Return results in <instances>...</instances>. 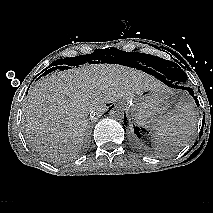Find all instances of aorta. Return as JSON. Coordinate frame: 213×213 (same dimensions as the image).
I'll use <instances>...</instances> for the list:
<instances>
[{"instance_id":"762f6f07","label":"aorta","mask_w":213,"mask_h":213,"mask_svg":"<svg viewBox=\"0 0 213 213\" xmlns=\"http://www.w3.org/2000/svg\"><path fill=\"white\" fill-rule=\"evenodd\" d=\"M109 115L113 120L122 122L124 120L125 112L123 108L117 106L110 110Z\"/></svg>"}]
</instances>
